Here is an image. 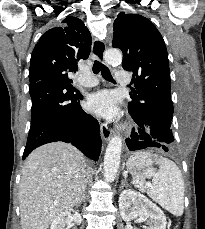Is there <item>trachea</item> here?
Listing matches in <instances>:
<instances>
[{"label": "trachea", "instance_id": "3493384b", "mask_svg": "<svg viewBox=\"0 0 205 229\" xmlns=\"http://www.w3.org/2000/svg\"><path fill=\"white\" fill-rule=\"evenodd\" d=\"M101 71V74L103 76L104 79H106L107 81H110V82H115L113 80V77L109 71V69L103 65L102 63H100L99 61L95 60L94 61V64H93V72L95 74L99 73Z\"/></svg>", "mask_w": 205, "mask_h": 229}]
</instances>
